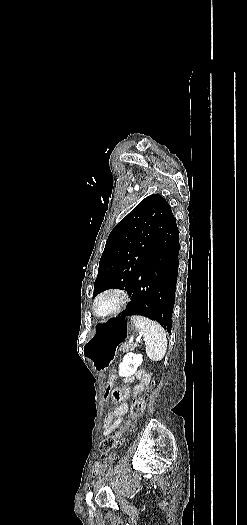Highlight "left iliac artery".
<instances>
[{"instance_id": "1", "label": "left iliac artery", "mask_w": 247, "mask_h": 525, "mask_svg": "<svg viewBox=\"0 0 247 525\" xmlns=\"http://www.w3.org/2000/svg\"><path fill=\"white\" fill-rule=\"evenodd\" d=\"M92 496H93V493L91 491L88 492L87 495H86V502H87L88 505L92 504V502H91Z\"/></svg>"}]
</instances>
